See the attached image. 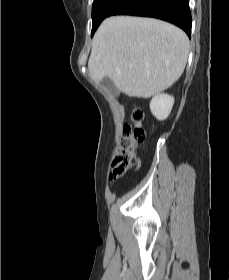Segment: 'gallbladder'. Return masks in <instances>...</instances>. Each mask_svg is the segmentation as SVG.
<instances>
[{
    "label": "gallbladder",
    "instance_id": "1",
    "mask_svg": "<svg viewBox=\"0 0 229 280\" xmlns=\"http://www.w3.org/2000/svg\"><path fill=\"white\" fill-rule=\"evenodd\" d=\"M101 85L105 87L115 97H117L120 93L117 87L112 82V80H110L108 77H104L102 79Z\"/></svg>",
    "mask_w": 229,
    "mask_h": 280
}]
</instances>
